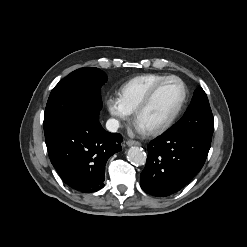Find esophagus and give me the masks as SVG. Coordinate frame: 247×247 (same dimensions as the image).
Segmentation results:
<instances>
[{
    "label": "esophagus",
    "instance_id": "34e87169",
    "mask_svg": "<svg viewBox=\"0 0 247 247\" xmlns=\"http://www.w3.org/2000/svg\"><path fill=\"white\" fill-rule=\"evenodd\" d=\"M126 144H127L128 146H133V145H135V146H140V145H141L140 142L134 141V140H128V141L126 142Z\"/></svg>",
    "mask_w": 247,
    "mask_h": 247
}]
</instances>
